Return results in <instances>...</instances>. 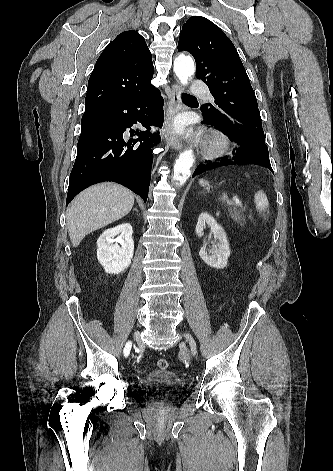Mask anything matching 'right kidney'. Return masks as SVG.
Returning a JSON list of instances; mask_svg holds the SVG:
<instances>
[{"label": "right kidney", "mask_w": 333, "mask_h": 471, "mask_svg": "<svg viewBox=\"0 0 333 471\" xmlns=\"http://www.w3.org/2000/svg\"><path fill=\"white\" fill-rule=\"evenodd\" d=\"M132 233V226L123 223L105 230L98 238L97 258L106 273L119 274L131 264L134 253Z\"/></svg>", "instance_id": "right-kidney-1"}]
</instances>
